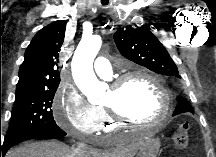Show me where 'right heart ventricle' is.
I'll use <instances>...</instances> for the list:
<instances>
[{
	"mask_svg": "<svg viewBox=\"0 0 216 157\" xmlns=\"http://www.w3.org/2000/svg\"><path fill=\"white\" fill-rule=\"evenodd\" d=\"M100 111H101L102 121L99 130L110 132L113 129H115L117 125L112 121V119L110 118L106 110L101 107Z\"/></svg>",
	"mask_w": 216,
	"mask_h": 157,
	"instance_id": "e07e8e85",
	"label": "right heart ventricle"
}]
</instances>
